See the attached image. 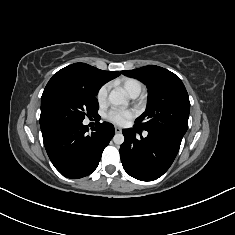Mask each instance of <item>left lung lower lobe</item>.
<instances>
[{"instance_id": "0a47b994", "label": "left lung lower lobe", "mask_w": 235, "mask_h": 235, "mask_svg": "<svg viewBox=\"0 0 235 235\" xmlns=\"http://www.w3.org/2000/svg\"><path fill=\"white\" fill-rule=\"evenodd\" d=\"M135 129L122 131L125 137L120 146L122 165L130 176L138 180H156L173 163L184 134L172 129L146 130L148 136L138 140Z\"/></svg>"}]
</instances>
